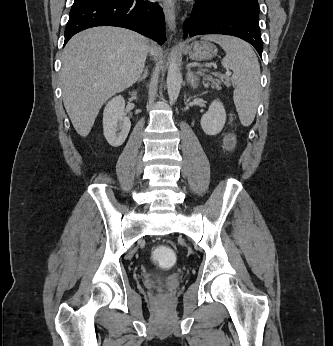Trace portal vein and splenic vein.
<instances>
[{
    "label": "portal vein and splenic vein",
    "instance_id": "portal-vein-and-splenic-vein-1",
    "mask_svg": "<svg viewBox=\"0 0 333 346\" xmlns=\"http://www.w3.org/2000/svg\"><path fill=\"white\" fill-rule=\"evenodd\" d=\"M227 75H230L231 73L229 71L226 72Z\"/></svg>",
    "mask_w": 333,
    "mask_h": 346
}]
</instances>
